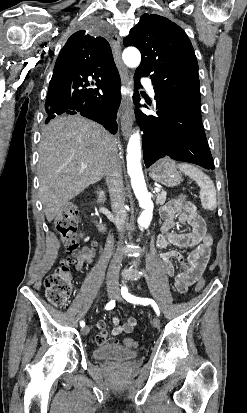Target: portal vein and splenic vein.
Wrapping results in <instances>:
<instances>
[{"label":"portal vein and splenic vein","instance_id":"1","mask_svg":"<svg viewBox=\"0 0 247 413\" xmlns=\"http://www.w3.org/2000/svg\"><path fill=\"white\" fill-rule=\"evenodd\" d=\"M156 192H159L160 188H155Z\"/></svg>","mask_w":247,"mask_h":413}]
</instances>
